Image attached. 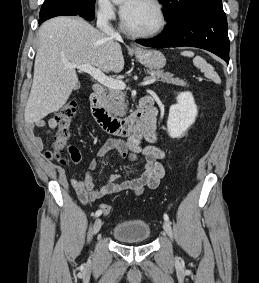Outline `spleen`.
<instances>
[{"mask_svg": "<svg viewBox=\"0 0 259 283\" xmlns=\"http://www.w3.org/2000/svg\"><path fill=\"white\" fill-rule=\"evenodd\" d=\"M181 54L187 57L194 56V53L192 51H183ZM193 63L197 68H199L205 74L206 77L212 79L215 82H220V78L217 75V73L214 71V68L210 64H208L205 59H203L200 56H196L193 59Z\"/></svg>", "mask_w": 259, "mask_h": 283, "instance_id": "obj_1", "label": "spleen"}]
</instances>
